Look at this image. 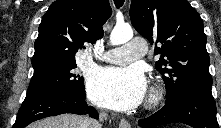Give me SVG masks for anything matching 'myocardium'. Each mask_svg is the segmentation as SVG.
Here are the masks:
<instances>
[{"label": "myocardium", "instance_id": "1", "mask_svg": "<svg viewBox=\"0 0 221 128\" xmlns=\"http://www.w3.org/2000/svg\"><path fill=\"white\" fill-rule=\"evenodd\" d=\"M161 100V91L159 89L153 88L150 90L146 107L153 108L158 105L159 101Z\"/></svg>", "mask_w": 221, "mask_h": 128}]
</instances>
